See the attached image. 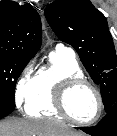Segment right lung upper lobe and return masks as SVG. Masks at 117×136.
I'll list each match as a JSON object with an SVG mask.
<instances>
[{"label":"right lung upper lobe","instance_id":"cb5924a9","mask_svg":"<svg viewBox=\"0 0 117 136\" xmlns=\"http://www.w3.org/2000/svg\"><path fill=\"white\" fill-rule=\"evenodd\" d=\"M41 20L30 5L0 2V56L31 59L41 46Z\"/></svg>","mask_w":117,"mask_h":136}]
</instances>
